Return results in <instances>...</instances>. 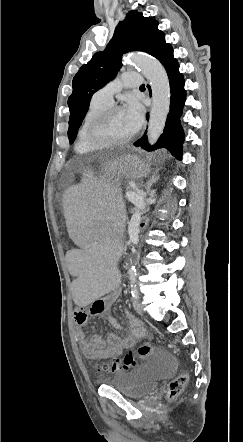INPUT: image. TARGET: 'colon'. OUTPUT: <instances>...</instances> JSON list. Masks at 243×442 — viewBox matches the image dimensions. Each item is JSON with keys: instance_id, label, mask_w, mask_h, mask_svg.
Returning a JSON list of instances; mask_svg holds the SVG:
<instances>
[{"instance_id": "obj_1", "label": "colon", "mask_w": 243, "mask_h": 442, "mask_svg": "<svg viewBox=\"0 0 243 442\" xmlns=\"http://www.w3.org/2000/svg\"><path fill=\"white\" fill-rule=\"evenodd\" d=\"M151 218L147 217L140 222L139 227L143 233L148 231V224ZM154 352V347L148 343L141 345L137 352H129L123 358L108 357L106 363L99 364L97 369L101 373H120L129 368L135 367L138 361L149 358ZM189 377L186 373L179 374L168 386L167 394L169 398H176L188 384Z\"/></svg>"}]
</instances>
